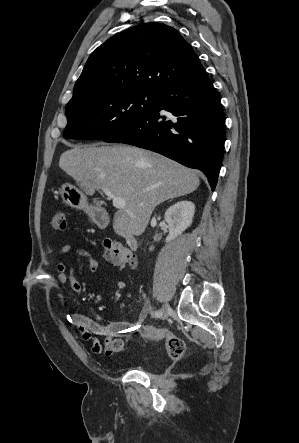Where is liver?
I'll use <instances>...</instances> for the list:
<instances>
[{"mask_svg":"<svg viewBox=\"0 0 299 443\" xmlns=\"http://www.w3.org/2000/svg\"><path fill=\"white\" fill-rule=\"evenodd\" d=\"M60 168L87 194L109 189L125 200L114 215L127 233L139 236L160 203L190 194L200 180L196 171L136 147L74 146L60 156Z\"/></svg>","mask_w":299,"mask_h":443,"instance_id":"1","label":"liver"}]
</instances>
